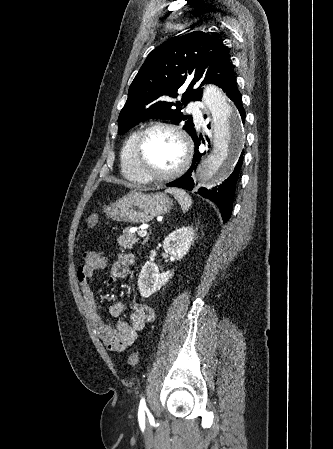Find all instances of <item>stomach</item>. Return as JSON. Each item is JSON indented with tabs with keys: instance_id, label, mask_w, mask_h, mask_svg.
Here are the masks:
<instances>
[{
	"instance_id": "1",
	"label": "stomach",
	"mask_w": 333,
	"mask_h": 449,
	"mask_svg": "<svg viewBox=\"0 0 333 449\" xmlns=\"http://www.w3.org/2000/svg\"><path fill=\"white\" fill-rule=\"evenodd\" d=\"M172 205L169 196L163 192L144 194L131 192L111 203L104 210L112 220L127 223H147L159 215L167 213Z\"/></svg>"
}]
</instances>
